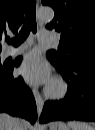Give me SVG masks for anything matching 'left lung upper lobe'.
I'll return each mask as SVG.
<instances>
[{
	"label": "left lung upper lobe",
	"mask_w": 95,
	"mask_h": 130,
	"mask_svg": "<svg viewBox=\"0 0 95 130\" xmlns=\"http://www.w3.org/2000/svg\"><path fill=\"white\" fill-rule=\"evenodd\" d=\"M54 9L48 29L61 33L59 51L47 56L58 65L69 68L78 63H95V0H42Z\"/></svg>",
	"instance_id": "1"
}]
</instances>
